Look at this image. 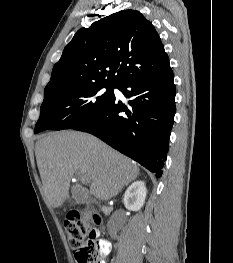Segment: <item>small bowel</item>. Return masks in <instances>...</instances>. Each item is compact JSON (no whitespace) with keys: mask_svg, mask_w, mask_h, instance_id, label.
Instances as JSON below:
<instances>
[{"mask_svg":"<svg viewBox=\"0 0 233 263\" xmlns=\"http://www.w3.org/2000/svg\"><path fill=\"white\" fill-rule=\"evenodd\" d=\"M101 263H107L105 258L110 254L111 252V243L108 240L101 239Z\"/></svg>","mask_w":233,"mask_h":263,"instance_id":"c3829d8e","label":"small bowel"}]
</instances>
